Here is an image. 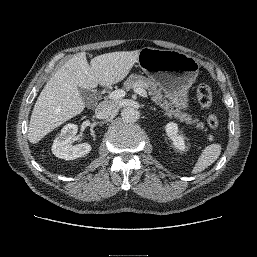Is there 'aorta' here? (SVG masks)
<instances>
[{
    "mask_svg": "<svg viewBox=\"0 0 257 257\" xmlns=\"http://www.w3.org/2000/svg\"><path fill=\"white\" fill-rule=\"evenodd\" d=\"M122 120L127 123H134L139 119V113L132 107H125L121 111Z\"/></svg>",
    "mask_w": 257,
    "mask_h": 257,
    "instance_id": "obj_1",
    "label": "aorta"
}]
</instances>
